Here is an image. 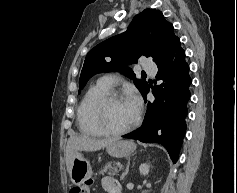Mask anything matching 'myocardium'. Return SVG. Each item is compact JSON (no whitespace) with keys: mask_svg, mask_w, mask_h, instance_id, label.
<instances>
[{"mask_svg":"<svg viewBox=\"0 0 237 193\" xmlns=\"http://www.w3.org/2000/svg\"><path fill=\"white\" fill-rule=\"evenodd\" d=\"M124 96L116 93V92H108L104 96H102L98 102L96 103L94 110H93V120L95 125L98 127V129L104 134L109 136H121L128 132H130L139 122L140 119V111L138 110L136 112V116L134 120L125 128L120 130H113L109 128L105 122H104V116L106 109L109 104L124 100Z\"/></svg>","mask_w":237,"mask_h":193,"instance_id":"myocardium-1","label":"myocardium"}]
</instances>
